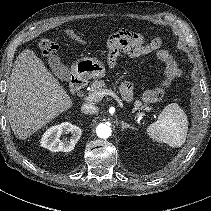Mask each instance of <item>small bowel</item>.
I'll return each mask as SVG.
<instances>
[{"label": "small bowel", "instance_id": "small-bowel-1", "mask_svg": "<svg viewBox=\"0 0 211 211\" xmlns=\"http://www.w3.org/2000/svg\"><path fill=\"white\" fill-rule=\"evenodd\" d=\"M127 32H130V31H127ZM113 44V40H110L108 42V45H111ZM121 92H122V95H123V98L126 100V101H131L132 100V87L129 83L125 82L121 85Z\"/></svg>", "mask_w": 211, "mask_h": 211}]
</instances>
